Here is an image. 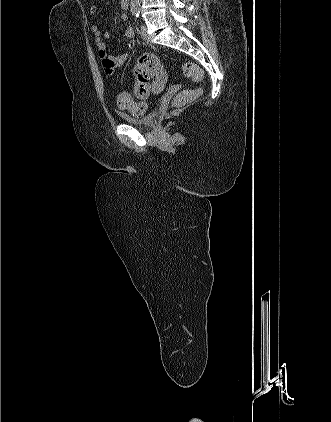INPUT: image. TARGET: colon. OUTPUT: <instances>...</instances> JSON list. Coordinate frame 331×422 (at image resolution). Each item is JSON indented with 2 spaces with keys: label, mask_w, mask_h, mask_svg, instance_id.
I'll use <instances>...</instances> for the list:
<instances>
[{
  "label": "colon",
  "mask_w": 331,
  "mask_h": 422,
  "mask_svg": "<svg viewBox=\"0 0 331 422\" xmlns=\"http://www.w3.org/2000/svg\"><path fill=\"white\" fill-rule=\"evenodd\" d=\"M135 88L133 95L128 92H120L118 95V106L128 110L133 115H142L147 106L146 98L151 92H160L166 80V68L154 54H144L134 65ZM184 72L194 81L198 82L202 78V70L194 63H187ZM201 89L186 90L179 93L174 106L179 108L193 102L201 96Z\"/></svg>",
  "instance_id": "1"
}]
</instances>
